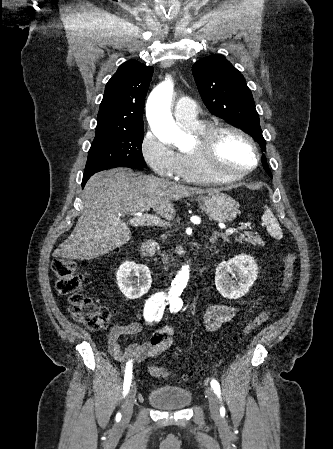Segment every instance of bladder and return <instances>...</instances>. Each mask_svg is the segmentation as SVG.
Segmentation results:
<instances>
[{"label": "bladder", "instance_id": "31cf9c89", "mask_svg": "<svg viewBox=\"0 0 333 449\" xmlns=\"http://www.w3.org/2000/svg\"><path fill=\"white\" fill-rule=\"evenodd\" d=\"M147 401L160 410H180L190 405L192 394L181 386L160 385L149 391Z\"/></svg>", "mask_w": 333, "mask_h": 449}]
</instances>
